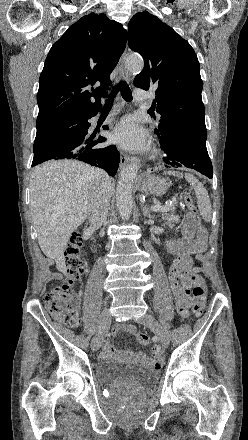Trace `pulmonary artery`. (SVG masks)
<instances>
[{
    "label": "pulmonary artery",
    "instance_id": "pulmonary-artery-1",
    "mask_svg": "<svg viewBox=\"0 0 248 440\" xmlns=\"http://www.w3.org/2000/svg\"><path fill=\"white\" fill-rule=\"evenodd\" d=\"M134 97H135V99H137L139 101H143V100H145L147 98V94L142 89H136L134 91Z\"/></svg>",
    "mask_w": 248,
    "mask_h": 440
}]
</instances>
